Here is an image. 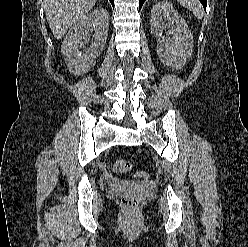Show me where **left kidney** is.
Here are the masks:
<instances>
[{
	"mask_svg": "<svg viewBox=\"0 0 248 247\" xmlns=\"http://www.w3.org/2000/svg\"><path fill=\"white\" fill-rule=\"evenodd\" d=\"M150 25L158 39L157 54L160 61L173 69L183 67L193 51V35L185 20L170 3L161 2L152 7ZM166 29L171 37L163 35Z\"/></svg>",
	"mask_w": 248,
	"mask_h": 247,
	"instance_id": "left-kidney-1",
	"label": "left kidney"
}]
</instances>
